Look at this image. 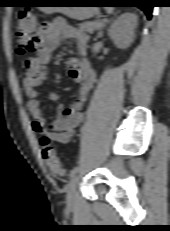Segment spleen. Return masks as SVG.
I'll return each mask as SVG.
<instances>
[{
	"instance_id": "spleen-1",
	"label": "spleen",
	"mask_w": 170,
	"mask_h": 231,
	"mask_svg": "<svg viewBox=\"0 0 170 231\" xmlns=\"http://www.w3.org/2000/svg\"><path fill=\"white\" fill-rule=\"evenodd\" d=\"M106 11H107L108 13H112V12H113V8L107 7V8H106Z\"/></svg>"
}]
</instances>
